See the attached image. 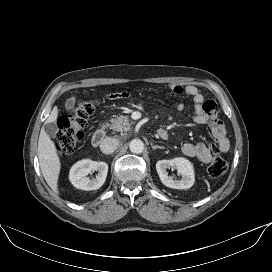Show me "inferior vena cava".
<instances>
[{
    "label": "inferior vena cava",
    "mask_w": 272,
    "mask_h": 272,
    "mask_svg": "<svg viewBox=\"0 0 272 272\" xmlns=\"http://www.w3.org/2000/svg\"><path fill=\"white\" fill-rule=\"evenodd\" d=\"M119 145V141L116 138L107 137L102 140L100 144V150L104 154H111L113 153Z\"/></svg>",
    "instance_id": "602c4592"
}]
</instances>
